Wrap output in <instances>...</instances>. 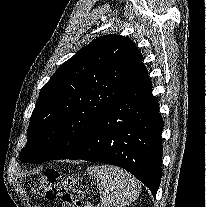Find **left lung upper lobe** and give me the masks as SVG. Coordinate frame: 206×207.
Masks as SVG:
<instances>
[{"label": "left lung upper lobe", "instance_id": "5c2ea615", "mask_svg": "<svg viewBox=\"0 0 206 207\" xmlns=\"http://www.w3.org/2000/svg\"><path fill=\"white\" fill-rule=\"evenodd\" d=\"M129 38L99 37L64 62L42 87L22 162L64 159L89 138L106 109L145 69Z\"/></svg>", "mask_w": 206, "mask_h": 207}]
</instances>
